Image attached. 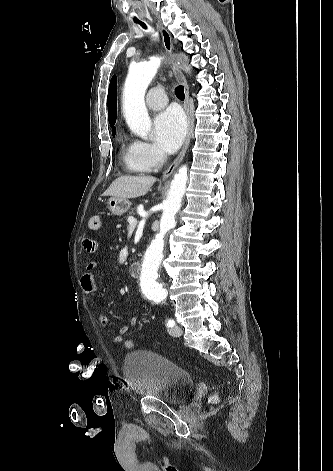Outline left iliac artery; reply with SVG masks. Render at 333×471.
Masks as SVG:
<instances>
[{
	"label": "left iliac artery",
	"mask_w": 333,
	"mask_h": 471,
	"mask_svg": "<svg viewBox=\"0 0 333 471\" xmlns=\"http://www.w3.org/2000/svg\"><path fill=\"white\" fill-rule=\"evenodd\" d=\"M175 325V321L173 319H169L167 321V327H173Z\"/></svg>",
	"instance_id": "obj_1"
}]
</instances>
